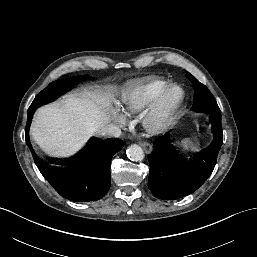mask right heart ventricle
Instances as JSON below:
<instances>
[{"instance_id": "obj_1", "label": "right heart ventricle", "mask_w": 257, "mask_h": 257, "mask_svg": "<svg viewBox=\"0 0 257 257\" xmlns=\"http://www.w3.org/2000/svg\"><path fill=\"white\" fill-rule=\"evenodd\" d=\"M167 82L159 77H147L131 85L122 95V109L126 113H139L151 104Z\"/></svg>"}]
</instances>
